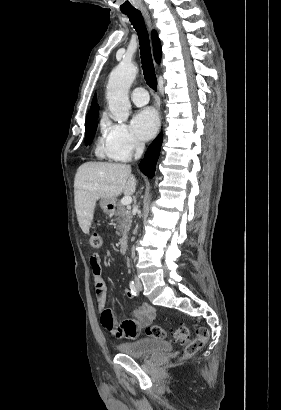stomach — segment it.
<instances>
[{
  "mask_svg": "<svg viewBox=\"0 0 281 410\" xmlns=\"http://www.w3.org/2000/svg\"><path fill=\"white\" fill-rule=\"evenodd\" d=\"M101 208L105 214L112 216L115 212V201L110 199H102L100 202Z\"/></svg>",
  "mask_w": 281,
  "mask_h": 410,
  "instance_id": "0dacf381",
  "label": "stomach"
}]
</instances>
